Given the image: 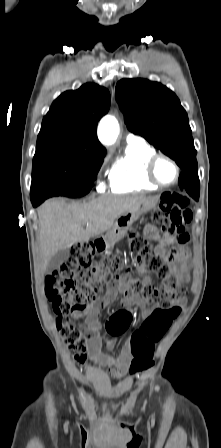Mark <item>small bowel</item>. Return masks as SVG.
<instances>
[{
	"label": "small bowel",
	"instance_id": "obj_1",
	"mask_svg": "<svg viewBox=\"0 0 221 448\" xmlns=\"http://www.w3.org/2000/svg\"><path fill=\"white\" fill-rule=\"evenodd\" d=\"M146 233L157 234V229L148 225L146 227ZM189 235L188 233L180 236H164L156 249L159 254L166 257L169 260L170 267L180 273L183 281H188V269H189V251H188ZM173 243L174 247L167 251V245ZM146 282H151L150 278L145 279ZM107 290L104 295L98 297L96 302L88 305L80 312L73 314V319L76 321L82 320L85 324V330L89 334L87 345L84 349L86 357L96 361L102 365L105 369L110 371V375L113 378L123 377L132 360L134 354L132 350V343L127 342L118 354H104L101 352L102 343L105 339V334L102 328V322L100 319V311L103 307L111 303L117 294L122 295L121 304L124 310L116 312L111 316L107 322V332L112 336H119L123 334L129 327L132 321V314L129 308L138 302L137 297L132 292L131 282L126 277L115 276L110 273L106 277ZM178 304H182L183 300L178 299ZM156 309L148 307H142V315L148 319L152 316ZM145 339L147 337L141 334ZM116 339H110L107 341L109 348L115 346Z\"/></svg>",
	"mask_w": 221,
	"mask_h": 448
}]
</instances>
